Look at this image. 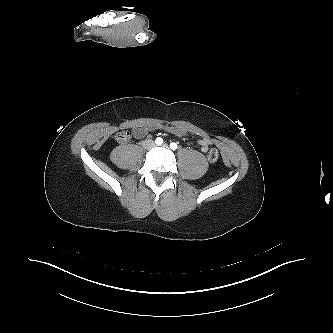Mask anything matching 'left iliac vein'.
<instances>
[{
  "instance_id": "1",
  "label": "left iliac vein",
  "mask_w": 333,
  "mask_h": 333,
  "mask_svg": "<svg viewBox=\"0 0 333 333\" xmlns=\"http://www.w3.org/2000/svg\"><path fill=\"white\" fill-rule=\"evenodd\" d=\"M162 147H164V148H167V147H168V145H167V144H163V145H162Z\"/></svg>"
}]
</instances>
